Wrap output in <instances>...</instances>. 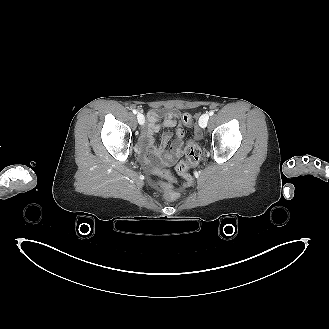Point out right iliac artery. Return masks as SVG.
I'll list each match as a JSON object with an SVG mask.
<instances>
[{"label":"right iliac artery","instance_id":"1","mask_svg":"<svg viewBox=\"0 0 329 329\" xmlns=\"http://www.w3.org/2000/svg\"><path fill=\"white\" fill-rule=\"evenodd\" d=\"M132 112H133L134 114H137V110H136V109H133Z\"/></svg>","mask_w":329,"mask_h":329}]
</instances>
